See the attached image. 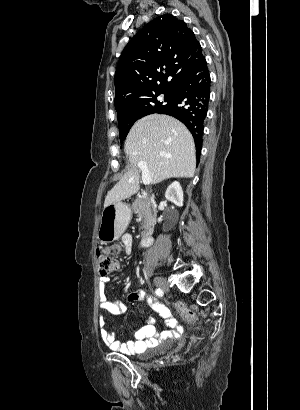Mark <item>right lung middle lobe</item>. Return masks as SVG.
<instances>
[{"instance_id":"dd1d6c3e","label":"right lung middle lobe","mask_w":300,"mask_h":410,"mask_svg":"<svg viewBox=\"0 0 300 410\" xmlns=\"http://www.w3.org/2000/svg\"><path fill=\"white\" fill-rule=\"evenodd\" d=\"M161 94L164 95L165 97L164 100L158 99V96H160ZM172 101H173V90L160 91L157 93L150 94L147 97L143 98L141 100L142 106H141L139 115L132 117V118L118 121L119 131H120V140L123 141L126 138L130 128L132 127V125L134 124L136 120H138L139 118L145 115L156 113L161 108L169 105Z\"/></svg>"}]
</instances>
